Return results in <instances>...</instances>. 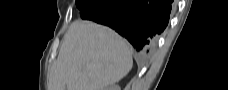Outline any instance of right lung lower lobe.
I'll return each mask as SVG.
<instances>
[{
    "label": "right lung lower lobe",
    "mask_w": 228,
    "mask_h": 90,
    "mask_svg": "<svg viewBox=\"0 0 228 90\" xmlns=\"http://www.w3.org/2000/svg\"><path fill=\"white\" fill-rule=\"evenodd\" d=\"M172 5L173 0H104L81 17L111 27L145 58L168 25Z\"/></svg>",
    "instance_id": "98d812e1"
}]
</instances>
